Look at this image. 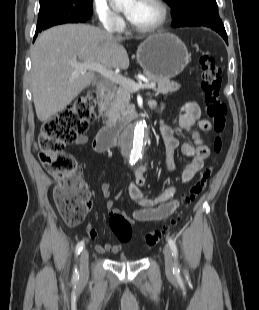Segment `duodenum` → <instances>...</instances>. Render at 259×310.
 Returning a JSON list of instances; mask_svg holds the SVG:
<instances>
[{"label":"duodenum","mask_w":259,"mask_h":310,"mask_svg":"<svg viewBox=\"0 0 259 310\" xmlns=\"http://www.w3.org/2000/svg\"><path fill=\"white\" fill-rule=\"evenodd\" d=\"M112 85H102L97 91V102L99 105L109 97ZM138 115V110H131L126 120L123 123H110L102 127L95 138L96 148L99 150H106L115 145L117 138L121 134L122 130Z\"/></svg>","instance_id":"obj_1"}]
</instances>
